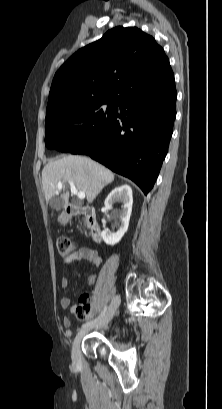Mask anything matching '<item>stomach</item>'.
<instances>
[{
    "mask_svg": "<svg viewBox=\"0 0 222 409\" xmlns=\"http://www.w3.org/2000/svg\"><path fill=\"white\" fill-rule=\"evenodd\" d=\"M69 219H70V215L67 214L66 212H63V213L59 216L58 222H59V224H61V225H66L67 222L69 221Z\"/></svg>",
    "mask_w": 222,
    "mask_h": 409,
    "instance_id": "obj_1",
    "label": "stomach"
}]
</instances>
